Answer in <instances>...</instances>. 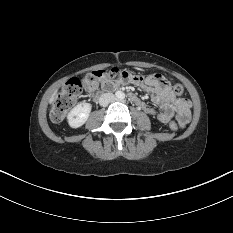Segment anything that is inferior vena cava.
<instances>
[{"label": "inferior vena cava", "instance_id": "602c4592", "mask_svg": "<svg viewBox=\"0 0 233 233\" xmlns=\"http://www.w3.org/2000/svg\"><path fill=\"white\" fill-rule=\"evenodd\" d=\"M115 95L113 93H104L99 98V104L101 106H107L115 100Z\"/></svg>", "mask_w": 233, "mask_h": 233}]
</instances>
